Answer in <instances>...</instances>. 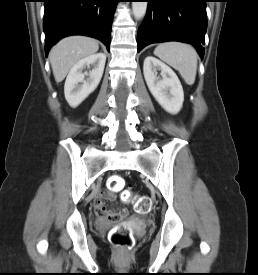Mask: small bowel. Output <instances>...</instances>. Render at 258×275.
<instances>
[{
  "mask_svg": "<svg viewBox=\"0 0 258 275\" xmlns=\"http://www.w3.org/2000/svg\"><path fill=\"white\" fill-rule=\"evenodd\" d=\"M114 199V195L112 192L103 191L101 192L94 201V208L97 213L101 216L107 217V213L109 212L105 206L106 201H111Z\"/></svg>",
  "mask_w": 258,
  "mask_h": 275,
  "instance_id": "1",
  "label": "small bowel"
}]
</instances>
